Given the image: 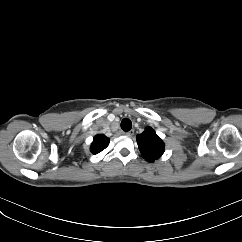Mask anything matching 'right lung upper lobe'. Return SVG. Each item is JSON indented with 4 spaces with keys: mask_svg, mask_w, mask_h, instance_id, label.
<instances>
[{
    "mask_svg": "<svg viewBox=\"0 0 242 242\" xmlns=\"http://www.w3.org/2000/svg\"><path fill=\"white\" fill-rule=\"evenodd\" d=\"M109 145V138H107L103 134H98L94 138L92 145H91V152L93 154H98L102 150H104Z\"/></svg>",
    "mask_w": 242,
    "mask_h": 242,
    "instance_id": "1",
    "label": "right lung upper lobe"
}]
</instances>
